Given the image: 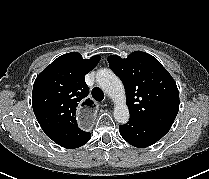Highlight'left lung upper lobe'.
I'll return each mask as SVG.
<instances>
[{"label":"left lung upper lobe","mask_w":209,"mask_h":179,"mask_svg":"<svg viewBox=\"0 0 209 179\" xmlns=\"http://www.w3.org/2000/svg\"><path fill=\"white\" fill-rule=\"evenodd\" d=\"M108 62L125 86L130 117L170 129L179 110V92L162 64L141 51L126 59L111 55Z\"/></svg>","instance_id":"5c2ea615"}]
</instances>
